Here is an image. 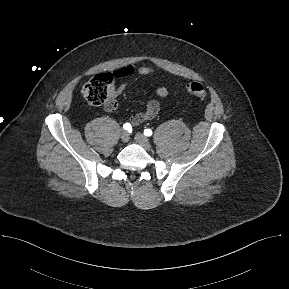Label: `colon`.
Here are the masks:
<instances>
[{"label":"colon","instance_id":"colon-1","mask_svg":"<svg viewBox=\"0 0 289 289\" xmlns=\"http://www.w3.org/2000/svg\"><path fill=\"white\" fill-rule=\"evenodd\" d=\"M113 77L111 74H98L89 79L82 87L84 98L92 105L103 106L109 111H113L117 107L116 100L111 95V85ZM186 90L199 98H205L207 91L205 86L197 81L189 82Z\"/></svg>","mask_w":289,"mask_h":289}]
</instances>
